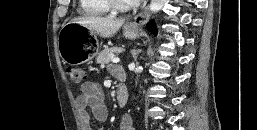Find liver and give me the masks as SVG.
Returning a JSON list of instances; mask_svg holds the SVG:
<instances>
[{"mask_svg":"<svg viewBox=\"0 0 257 130\" xmlns=\"http://www.w3.org/2000/svg\"><path fill=\"white\" fill-rule=\"evenodd\" d=\"M71 22L81 24L89 30L95 31L103 38H110L121 28L125 20L104 17H79L72 19Z\"/></svg>","mask_w":257,"mask_h":130,"instance_id":"6515ba94","label":"liver"}]
</instances>
